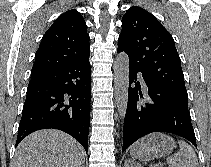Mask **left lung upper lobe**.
Returning <instances> with one entry per match:
<instances>
[{
  "label": "left lung upper lobe",
  "mask_w": 211,
  "mask_h": 167,
  "mask_svg": "<svg viewBox=\"0 0 211 167\" xmlns=\"http://www.w3.org/2000/svg\"><path fill=\"white\" fill-rule=\"evenodd\" d=\"M118 48L158 85L188 97L174 40L151 13L137 6L126 11Z\"/></svg>",
  "instance_id": "5c2ea615"
}]
</instances>
